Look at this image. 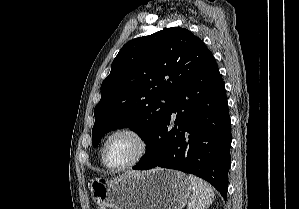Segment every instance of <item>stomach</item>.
<instances>
[{"label":"stomach","mask_w":299,"mask_h":209,"mask_svg":"<svg viewBox=\"0 0 299 209\" xmlns=\"http://www.w3.org/2000/svg\"><path fill=\"white\" fill-rule=\"evenodd\" d=\"M89 190L98 209H182L192 188L183 172L155 168L114 180L94 178Z\"/></svg>","instance_id":"obj_1"}]
</instances>
